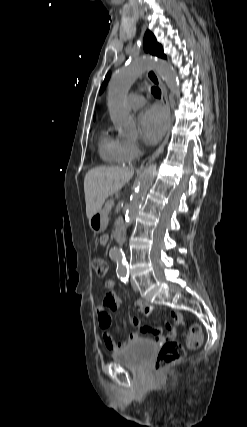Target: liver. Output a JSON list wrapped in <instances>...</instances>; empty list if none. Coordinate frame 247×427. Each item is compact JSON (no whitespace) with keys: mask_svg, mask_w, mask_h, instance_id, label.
Returning <instances> with one entry per match:
<instances>
[{"mask_svg":"<svg viewBox=\"0 0 247 427\" xmlns=\"http://www.w3.org/2000/svg\"><path fill=\"white\" fill-rule=\"evenodd\" d=\"M134 175L133 168L95 167L84 178L86 215L90 219L101 211L106 198L129 183Z\"/></svg>","mask_w":247,"mask_h":427,"instance_id":"obj_1","label":"liver"}]
</instances>
